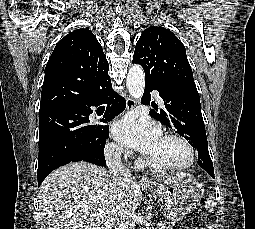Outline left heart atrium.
<instances>
[{"label": "left heart atrium", "mask_w": 255, "mask_h": 229, "mask_svg": "<svg viewBox=\"0 0 255 229\" xmlns=\"http://www.w3.org/2000/svg\"><path fill=\"white\" fill-rule=\"evenodd\" d=\"M112 136L122 145L150 153L162 137L158 125L146 118L127 115L112 125Z\"/></svg>", "instance_id": "obj_1"}]
</instances>
